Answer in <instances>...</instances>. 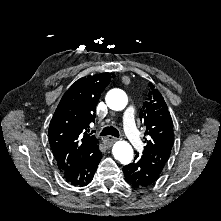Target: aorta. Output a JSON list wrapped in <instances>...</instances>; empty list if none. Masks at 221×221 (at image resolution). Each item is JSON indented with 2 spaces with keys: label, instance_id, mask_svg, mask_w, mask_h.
<instances>
[{
  "label": "aorta",
  "instance_id": "1",
  "mask_svg": "<svg viewBox=\"0 0 221 221\" xmlns=\"http://www.w3.org/2000/svg\"><path fill=\"white\" fill-rule=\"evenodd\" d=\"M105 100L107 106L115 111L123 110L128 103L127 95L121 89L110 90ZM112 153L114 158L124 165L129 164L133 159V149L126 141H117L112 148Z\"/></svg>",
  "mask_w": 221,
  "mask_h": 221
}]
</instances>
